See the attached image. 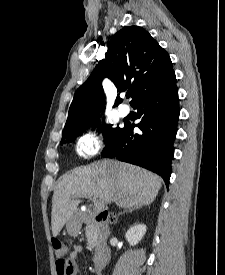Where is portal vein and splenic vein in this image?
I'll return each instance as SVG.
<instances>
[{"label": "portal vein and splenic vein", "mask_w": 225, "mask_h": 275, "mask_svg": "<svg viewBox=\"0 0 225 275\" xmlns=\"http://www.w3.org/2000/svg\"><path fill=\"white\" fill-rule=\"evenodd\" d=\"M94 205H95V207L98 209V210H101L102 209V207L104 206L101 202H99V201H95L94 202Z\"/></svg>", "instance_id": "18ae733b"}]
</instances>
